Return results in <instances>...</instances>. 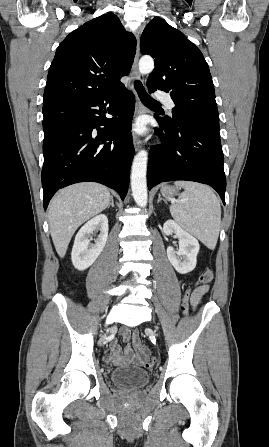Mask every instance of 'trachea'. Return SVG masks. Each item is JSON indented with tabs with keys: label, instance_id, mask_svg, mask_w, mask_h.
<instances>
[{
	"label": "trachea",
	"instance_id": "1",
	"mask_svg": "<svg viewBox=\"0 0 269 447\" xmlns=\"http://www.w3.org/2000/svg\"><path fill=\"white\" fill-rule=\"evenodd\" d=\"M135 89L139 95L140 100L144 103V105H161L159 102L154 100L148 93L145 91L142 83L139 80L134 82Z\"/></svg>",
	"mask_w": 269,
	"mask_h": 447
}]
</instances>
